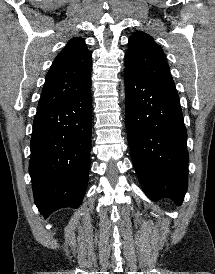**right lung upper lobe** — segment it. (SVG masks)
I'll return each instance as SVG.
<instances>
[{
    "mask_svg": "<svg viewBox=\"0 0 215 274\" xmlns=\"http://www.w3.org/2000/svg\"><path fill=\"white\" fill-rule=\"evenodd\" d=\"M91 53L80 37L72 38L46 75L37 111L53 107L91 84Z\"/></svg>",
    "mask_w": 215,
    "mask_h": 274,
    "instance_id": "1",
    "label": "right lung upper lobe"
}]
</instances>
